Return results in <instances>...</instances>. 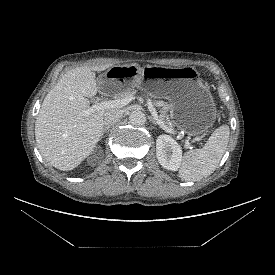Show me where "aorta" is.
<instances>
[{
  "label": "aorta",
  "mask_w": 275,
  "mask_h": 275,
  "mask_svg": "<svg viewBox=\"0 0 275 275\" xmlns=\"http://www.w3.org/2000/svg\"><path fill=\"white\" fill-rule=\"evenodd\" d=\"M129 121L134 126H142L146 123V116L140 110H134L129 115Z\"/></svg>",
  "instance_id": "aorta-1"
}]
</instances>
